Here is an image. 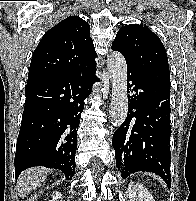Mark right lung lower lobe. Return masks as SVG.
<instances>
[{"label":"right lung lower lobe","mask_w":196,"mask_h":201,"mask_svg":"<svg viewBox=\"0 0 196 201\" xmlns=\"http://www.w3.org/2000/svg\"><path fill=\"white\" fill-rule=\"evenodd\" d=\"M95 63L75 74L25 88L26 101L15 154L16 179L34 166L75 173L77 130L84 100L97 81Z\"/></svg>","instance_id":"98d812e1"}]
</instances>
